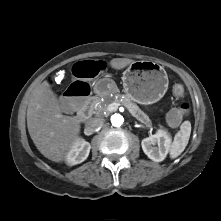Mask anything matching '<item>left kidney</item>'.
Returning <instances> with one entry per match:
<instances>
[{"label": "left kidney", "mask_w": 221, "mask_h": 221, "mask_svg": "<svg viewBox=\"0 0 221 221\" xmlns=\"http://www.w3.org/2000/svg\"><path fill=\"white\" fill-rule=\"evenodd\" d=\"M141 145L144 153L151 160L161 162L169 152L171 138L165 130H158L156 134L143 139Z\"/></svg>", "instance_id": "1"}]
</instances>
